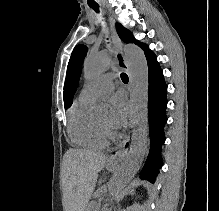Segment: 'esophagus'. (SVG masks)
Returning a JSON list of instances; mask_svg holds the SVG:
<instances>
[{
    "instance_id": "esophagus-1",
    "label": "esophagus",
    "mask_w": 219,
    "mask_h": 211,
    "mask_svg": "<svg viewBox=\"0 0 219 211\" xmlns=\"http://www.w3.org/2000/svg\"><path fill=\"white\" fill-rule=\"evenodd\" d=\"M109 22H110V29L112 33V43H113L115 59L117 61L119 68H122V70H124L127 73V75L130 76V65L128 61L126 60L124 53H123V43L120 40L115 30L114 18L109 16ZM129 141H130V132L124 142V145L120 147L114 155L109 156L110 163L120 164L122 162V160L125 158L127 154V149L125 148V145L126 143H129Z\"/></svg>"
}]
</instances>
